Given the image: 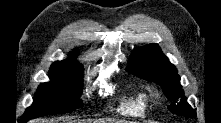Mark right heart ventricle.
Here are the masks:
<instances>
[{"instance_id":"right-heart-ventricle-1","label":"right heart ventricle","mask_w":221,"mask_h":123,"mask_svg":"<svg viewBox=\"0 0 221 123\" xmlns=\"http://www.w3.org/2000/svg\"><path fill=\"white\" fill-rule=\"evenodd\" d=\"M148 107V97L144 90L137 89L124 96L117 108L118 112L128 116H143Z\"/></svg>"}]
</instances>
